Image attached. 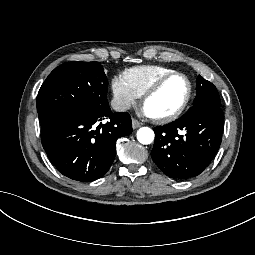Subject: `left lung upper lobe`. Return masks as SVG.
<instances>
[{"instance_id": "obj_1", "label": "left lung upper lobe", "mask_w": 255, "mask_h": 255, "mask_svg": "<svg viewBox=\"0 0 255 255\" xmlns=\"http://www.w3.org/2000/svg\"><path fill=\"white\" fill-rule=\"evenodd\" d=\"M197 95L194 99V105L199 103L212 104L221 107V101L216 87L200 75L197 78Z\"/></svg>"}]
</instances>
